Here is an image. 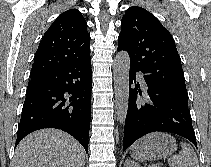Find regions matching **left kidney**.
Masks as SVG:
<instances>
[{
  "mask_svg": "<svg viewBox=\"0 0 211 167\" xmlns=\"http://www.w3.org/2000/svg\"><path fill=\"white\" fill-rule=\"evenodd\" d=\"M124 167H140L137 163L127 160Z\"/></svg>",
  "mask_w": 211,
  "mask_h": 167,
  "instance_id": "5707ae66",
  "label": "left kidney"
}]
</instances>
